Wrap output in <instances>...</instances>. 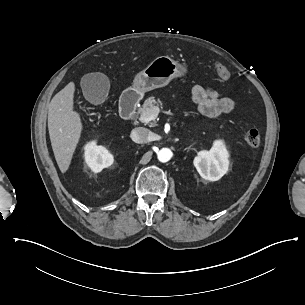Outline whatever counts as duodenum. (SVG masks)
Returning a JSON list of instances; mask_svg holds the SVG:
<instances>
[{
    "mask_svg": "<svg viewBox=\"0 0 305 305\" xmlns=\"http://www.w3.org/2000/svg\"><path fill=\"white\" fill-rule=\"evenodd\" d=\"M140 101V95L136 91L125 92L120 99V112L123 118L131 119Z\"/></svg>",
    "mask_w": 305,
    "mask_h": 305,
    "instance_id": "obj_1",
    "label": "duodenum"
}]
</instances>
